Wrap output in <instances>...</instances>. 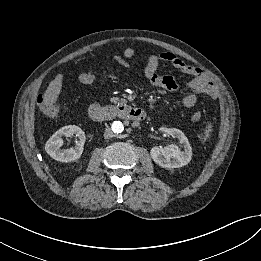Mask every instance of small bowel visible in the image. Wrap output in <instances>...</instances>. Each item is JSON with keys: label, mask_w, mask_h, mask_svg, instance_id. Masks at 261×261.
I'll use <instances>...</instances> for the list:
<instances>
[{"label": "small bowel", "mask_w": 261, "mask_h": 261, "mask_svg": "<svg viewBox=\"0 0 261 261\" xmlns=\"http://www.w3.org/2000/svg\"><path fill=\"white\" fill-rule=\"evenodd\" d=\"M136 55V51L132 47H127L122 55H116L114 61L120 65L128 66V60ZM161 61L170 62L175 67L182 69L187 74L193 76V71L198 68L192 65H185L184 62L172 53H160V54H149L147 56V63L144 69V73L150 84L154 87L161 88L168 91H176L179 89V83L176 78L172 76H162L158 74V67ZM188 67L190 70H184ZM96 78L95 72H86L80 75V81L83 84H91ZM190 84V83H189ZM209 95H214L215 91L213 89H208L205 91ZM199 92H191L183 98V105L186 108L194 107L198 102L197 94Z\"/></svg>", "instance_id": "c3829d8e"}]
</instances>
